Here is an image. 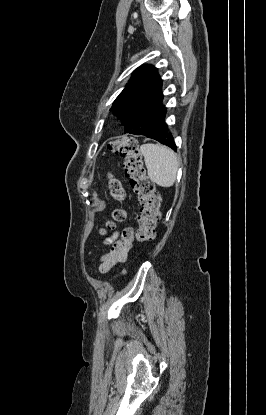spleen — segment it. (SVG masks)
Instances as JSON below:
<instances>
[{"label":"spleen","mask_w":266,"mask_h":415,"mask_svg":"<svg viewBox=\"0 0 266 415\" xmlns=\"http://www.w3.org/2000/svg\"><path fill=\"white\" fill-rule=\"evenodd\" d=\"M150 180L161 187H171L177 176L176 154L166 146L147 143L140 147Z\"/></svg>","instance_id":"1"}]
</instances>
